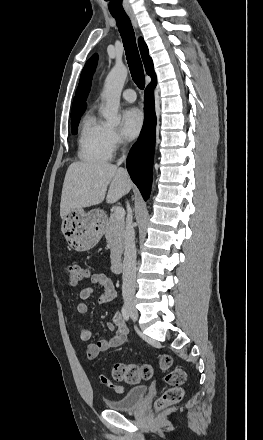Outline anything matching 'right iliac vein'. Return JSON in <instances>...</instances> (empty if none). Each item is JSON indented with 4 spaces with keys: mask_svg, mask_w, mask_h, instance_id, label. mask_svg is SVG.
I'll use <instances>...</instances> for the list:
<instances>
[{
    "mask_svg": "<svg viewBox=\"0 0 263 440\" xmlns=\"http://www.w3.org/2000/svg\"><path fill=\"white\" fill-rule=\"evenodd\" d=\"M125 306L128 309L129 314L132 317V319L136 321L138 319V311L135 308L134 300L131 298L125 299Z\"/></svg>",
    "mask_w": 263,
    "mask_h": 440,
    "instance_id": "obj_1",
    "label": "right iliac vein"
}]
</instances>
